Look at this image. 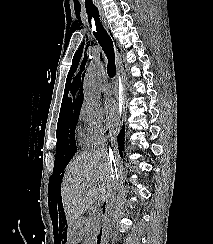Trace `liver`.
I'll list each match as a JSON object with an SVG mask.
<instances>
[{
  "mask_svg": "<svg viewBox=\"0 0 213 244\" xmlns=\"http://www.w3.org/2000/svg\"><path fill=\"white\" fill-rule=\"evenodd\" d=\"M112 158L107 150L82 153L65 169L61 197L70 227L95 201H107L112 189Z\"/></svg>",
  "mask_w": 213,
  "mask_h": 244,
  "instance_id": "6515ba94",
  "label": "liver"
}]
</instances>
